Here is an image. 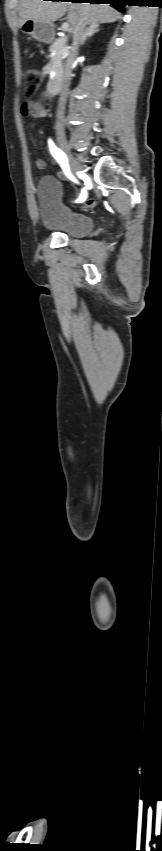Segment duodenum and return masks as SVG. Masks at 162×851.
I'll return each mask as SVG.
<instances>
[{
  "label": "duodenum",
  "mask_w": 162,
  "mask_h": 851,
  "mask_svg": "<svg viewBox=\"0 0 162 851\" xmlns=\"http://www.w3.org/2000/svg\"><path fill=\"white\" fill-rule=\"evenodd\" d=\"M60 86H61L60 79H58V78L49 79L48 82H47V85H46V87L49 88L50 91H51L49 95L50 96L56 95L60 90Z\"/></svg>",
  "instance_id": "duodenum-1"
}]
</instances>
